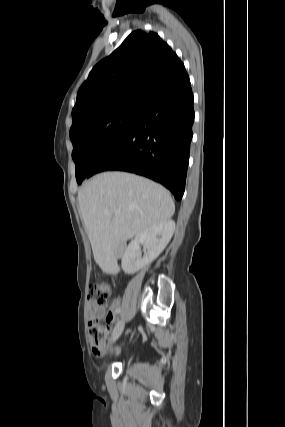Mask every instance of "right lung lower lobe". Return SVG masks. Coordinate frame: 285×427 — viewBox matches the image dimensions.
Returning a JSON list of instances; mask_svg holds the SVG:
<instances>
[{
  "instance_id": "obj_1",
  "label": "right lung lower lobe",
  "mask_w": 285,
  "mask_h": 427,
  "mask_svg": "<svg viewBox=\"0 0 285 427\" xmlns=\"http://www.w3.org/2000/svg\"><path fill=\"white\" fill-rule=\"evenodd\" d=\"M193 102L186 71L154 90L134 125L87 178L107 170L127 171L163 184L181 200L192 139Z\"/></svg>"
}]
</instances>
